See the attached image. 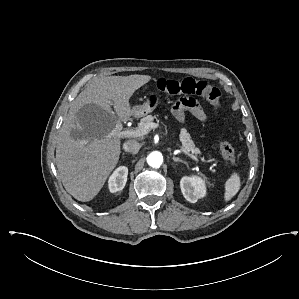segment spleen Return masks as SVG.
Returning <instances> with one entry per match:
<instances>
[{"mask_svg": "<svg viewBox=\"0 0 299 299\" xmlns=\"http://www.w3.org/2000/svg\"><path fill=\"white\" fill-rule=\"evenodd\" d=\"M240 177L237 173H233L231 177L225 183V202L230 201L240 189Z\"/></svg>", "mask_w": 299, "mask_h": 299, "instance_id": "3e777b00", "label": "spleen"}]
</instances>
